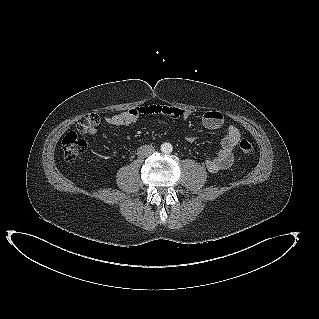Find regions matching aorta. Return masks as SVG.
I'll return each mask as SVG.
<instances>
[{
	"label": "aorta",
	"instance_id": "762f6f07",
	"mask_svg": "<svg viewBox=\"0 0 319 319\" xmlns=\"http://www.w3.org/2000/svg\"><path fill=\"white\" fill-rule=\"evenodd\" d=\"M172 150H173V146L170 143L166 142L161 145V151L163 153L169 154L172 152Z\"/></svg>",
	"mask_w": 319,
	"mask_h": 319
}]
</instances>
